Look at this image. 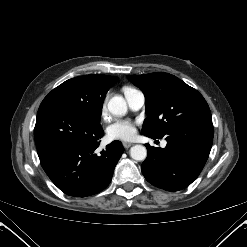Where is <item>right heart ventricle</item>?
Segmentation results:
<instances>
[{
	"mask_svg": "<svg viewBox=\"0 0 247 247\" xmlns=\"http://www.w3.org/2000/svg\"><path fill=\"white\" fill-rule=\"evenodd\" d=\"M131 89H132V88L125 87V88H124V92L129 91V90H131Z\"/></svg>",
	"mask_w": 247,
	"mask_h": 247,
	"instance_id": "right-heart-ventricle-1",
	"label": "right heart ventricle"
}]
</instances>
